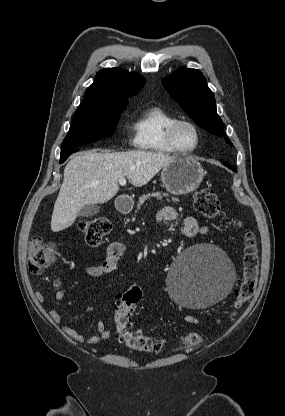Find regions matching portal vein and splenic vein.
Segmentation results:
<instances>
[{
    "mask_svg": "<svg viewBox=\"0 0 285 416\" xmlns=\"http://www.w3.org/2000/svg\"><path fill=\"white\" fill-rule=\"evenodd\" d=\"M119 184H120V186H126L125 178H121V180H119Z\"/></svg>",
    "mask_w": 285,
    "mask_h": 416,
    "instance_id": "obj_1",
    "label": "portal vein and splenic vein"
}]
</instances>
